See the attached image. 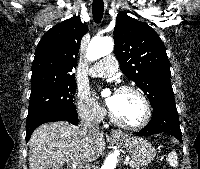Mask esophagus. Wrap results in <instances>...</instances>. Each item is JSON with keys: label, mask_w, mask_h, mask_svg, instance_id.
Instances as JSON below:
<instances>
[{"label": "esophagus", "mask_w": 200, "mask_h": 169, "mask_svg": "<svg viewBox=\"0 0 200 169\" xmlns=\"http://www.w3.org/2000/svg\"><path fill=\"white\" fill-rule=\"evenodd\" d=\"M111 136L112 137H124V134L120 130H112Z\"/></svg>", "instance_id": "34e87169"}]
</instances>
